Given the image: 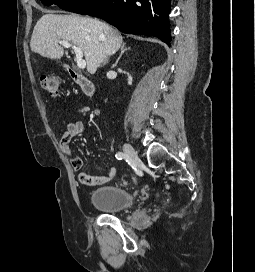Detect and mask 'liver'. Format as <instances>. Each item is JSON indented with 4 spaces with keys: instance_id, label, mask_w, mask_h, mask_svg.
<instances>
[{
    "instance_id": "liver-1",
    "label": "liver",
    "mask_w": 255,
    "mask_h": 272,
    "mask_svg": "<svg viewBox=\"0 0 255 272\" xmlns=\"http://www.w3.org/2000/svg\"><path fill=\"white\" fill-rule=\"evenodd\" d=\"M60 40L72 42L81 48L87 70L94 74L106 56L118 51L123 38L118 30L98 19L48 13L37 21L30 47L43 57L60 59L64 55Z\"/></svg>"
}]
</instances>
